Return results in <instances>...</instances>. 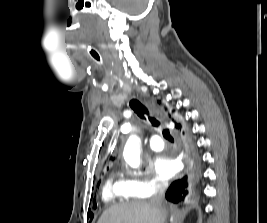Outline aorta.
<instances>
[{
	"mask_svg": "<svg viewBox=\"0 0 267 223\" xmlns=\"http://www.w3.org/2000/svg\"><path fill=\"white\" fill-rule=\"evenodd\" d=\"M123 157L127 164H129L132 168H138L140 165V139L132 135L127 140Z\"/></svg>",
	"mask_w": 267,
	"mask_h": 223,
	"instance_id": "1",
	"label": "aorta"
}]
</instances>
